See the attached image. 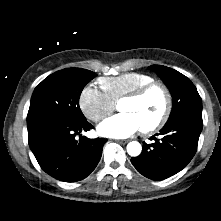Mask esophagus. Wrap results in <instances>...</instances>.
<instances>
[{"instance_id":"34e87169","label":"esophagus","mask_w":221,"mask_h":221,"mask_svg":"<svg viewBox=\"0 0 221 221\" xmlns=\"http://www.w3.org/2000/svg\"><path fill=\"white\" fill-rule=\"evenodd\" d=\"M116 142L121 143V144H126L128 140H116Z\"/></svg>"}]
</instances>
